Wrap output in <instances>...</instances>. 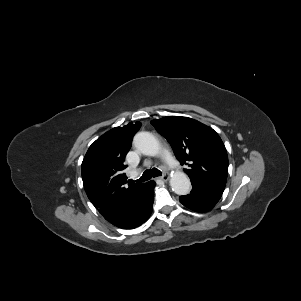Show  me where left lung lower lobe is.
Masks as SVG:
<instances>
[{"mask_svg":"<svg viewBox=\"0 0 301 301\" xmlns=\"http://www.w3.org/2000/svg\"><path fill=\"white\" fill-rule=\"evenodd\" d=\"M191 193L180 196V202L187 208L196 212L210 211L221 198L223 191L214 189L198 182H192Z\"/></svg>","mask_w":301,"mask_h":301,"instance_id":"0a47b994","label":"left lung lower lobe"}]
</instances>
